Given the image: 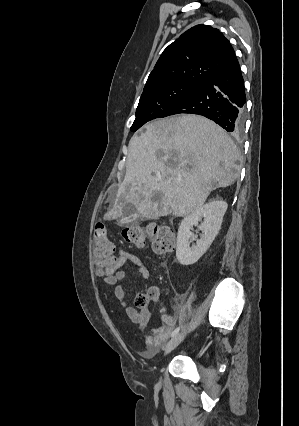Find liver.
Wrapping results in <instances>:
<instances>
[{
    "label": "liver",
    "mask_w": 299,
    "mask_h": 426,
    "mask_svg": "<svg viewBox=\"0 0 299 426\" xmlns=\"http://www.w3.org/2000/svg\"><path fill=\"white\" fill-rule=\"evenodd\" d=\"M143 129L129 142L125 178L105 219L122 217L128 203L148 220L171 213L184 217L237 178V146L213 121L182 114Z\"/></svg>",
    "instance_id": "obj_1"
}]
</instances>
